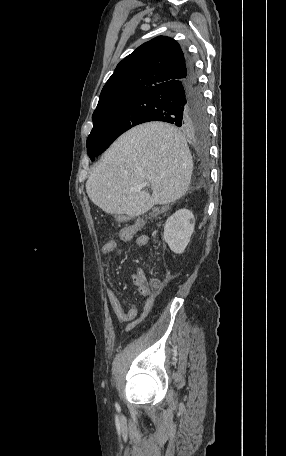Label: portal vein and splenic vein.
Segmentation results:
<instances>
[{"mask_svg": "<svg viewBox=\"0 0 286 456\" xmlns=\"http://www.w3.org/2000/svg\"><path fill=\"white\" fill-rule=\"evenodd\" d=\"M150 184H151L150 181H145V182L142 184V187L150 186ZM131 190L137 191L138 188H132Z\"/></svg>", "mask_w": 286, "mask_h": 456, "instance_id": "18ae733b", "label": "portal vein and splenic vein"}]
</instances>
